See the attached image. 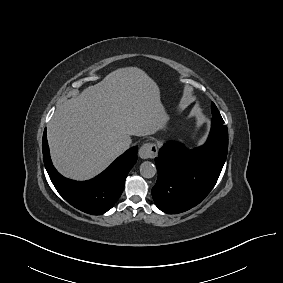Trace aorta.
<instances>
[{
	"label": "aorta",
	"mask_w": 283,
	"mask_h": 283,
	"mask_svg": "<svg viewBox=\"0 0 283 283\" xmlns=\"http://www.w3.org/2000/svg\"><path fill=\"white\" fill-rule=\"evenodd\" d=\"M156 172L155 165L150 161H145L140 165V174L144 178H152L155 176Z\"/></svg>",
	"instance_id": "1"
}]
</instances>
